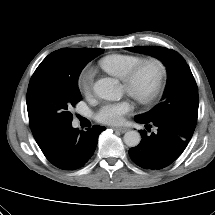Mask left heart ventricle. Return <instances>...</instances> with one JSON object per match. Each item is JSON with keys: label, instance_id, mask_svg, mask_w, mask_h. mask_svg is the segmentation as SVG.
<instances>
[{"label": "left heart ventricle", "instance_id": "obj_1", "mask_svg": "<svg viewBox=\"0 0 215 215\" xmlns=\"http://www.w3.org/2000/svg\"><path fill=\"white\" fill-rule=\"evenodd\" d=\"M156 74L157 71L153 65H148L143 68L136 82L137 90L143 94L148 93L155 83Z\"/></svg>", "mask_w": 215, "mask_h": 215}]
</instances>
